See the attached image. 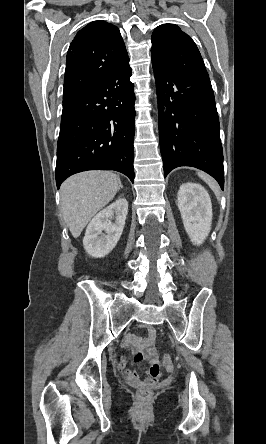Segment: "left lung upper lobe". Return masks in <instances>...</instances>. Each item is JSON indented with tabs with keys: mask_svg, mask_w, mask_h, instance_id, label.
<instances>
[{
	"mask_svg": "<svg viewBox=\"0 0 266 444\" xmlns=\"http://www.w3.org/2000/svg\"><path fill=\"white\" fill-rule=\"evenodd\" d=\"M151 41L152 60L178 74L209 77L196 44L177 25L158 26Z\"/></svg>",
	"mask_w": 266,
	"mask_h": 444,
	"instance_id": "1",
	"label": "left lung upper lobe"
}]
</instances>
